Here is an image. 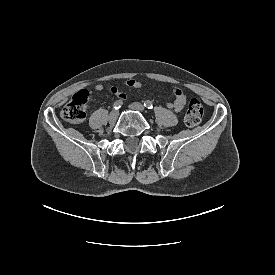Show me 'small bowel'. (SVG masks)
Masks as SVG:
<instances>
[{
  "label": "small bowel",
  "instance_id": "1",
  "mask_svg": "<svg viewBox=\"0 0 275 275\" xmlns=\"http://www.w3.org/2000/svg\"><path fill=\"white\" fill-rule=\"evenodd\" d=\"M125 85L131 88H141L142 83L135 79V78H129L125 81ZM104 86L102 84H98L95 86V89L97 91L104 90ZM170 91L174 96V100L172 102H168L166 105L168 108L174 109L177 112H180L184 109L186 103H187V96L183 92V90L177 86L170 87ZM110 92L117 95V97L120 99V101L125 100V95L123 93H118L117 88L115 86L110 87Z\"/></svg>",
  "mask_w": 275,
  "mask_h": 275
}]
</instances>
